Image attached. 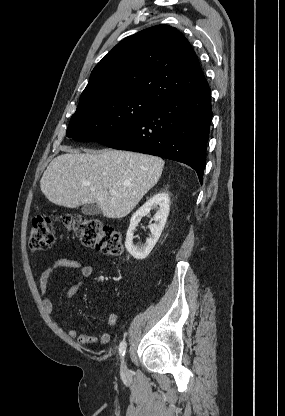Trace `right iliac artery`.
<instances>
[{
    "label": "right iliac artery",
    "mask_w": 285,
    "mask_h": 416,
    "mask_svg": "<svg viewBox=\"0 0 285 416\" xmlns=\"http://www.w3.org/2000/svg\"><path fill=\"white\" fill-rule=\"evenodd\" d=\"M126 347H127L126 342L125 341H122L120 343V346H119V354H120L121 357H124L125 352H126Z\"/></svg>",
    "instance_id": "82829eb1"
}]
</instances>
